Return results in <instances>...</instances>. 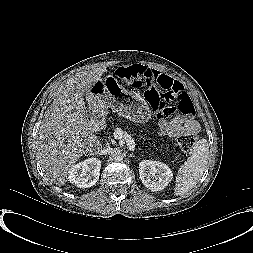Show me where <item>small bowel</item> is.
<instances>
[{"mask_svg": "<svg viewBox=\"0 0 253 253\" xmlns=\"http://www.w3.org/2000/svg\"><path fill=\"white\" fill-rule=\"evenodd\" d=\"M148 76L151 80L155 77L171 87L176 85L182 86L177 80L173 79L169 75L153 69H148ZM160 129L165 135L177 137L184 133L196 132L198 124L196 121L187 118L185 115L178 114L170 120H161Z\"/></svg>", "mask_w": 253, "mask_h": 253, "instance_id": "1", "label": "small bowel"}]
</instances>
